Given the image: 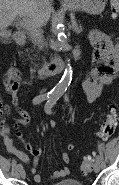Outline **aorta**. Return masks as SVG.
<instances>
[{"instance_id":"obj_1","label":"aorta","mask_w":119,"mask_h":185,"mask_svg":"<svg viewBox=\"0 0 119 185\" xmlns=\"http://www.w3.org/2000/svg\"><path fill=\"white\" fill-rule=\"evenodd\" d=\"M54 33L57 35L60 49L64 53H67L69 51V47L67 45V37L64 31V27L61 23V19L59 17H57L54 21ZM72 73L73 71L70 64H67L61 80L52 90V95H61L65 92V90L71 83Z\"/></svg>"}]
</instances>
